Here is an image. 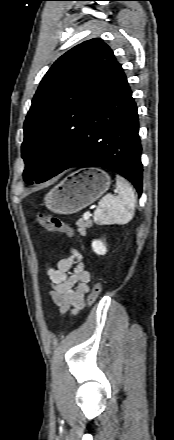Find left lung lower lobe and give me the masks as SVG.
I'll list each match as a JSON object with an SVG mask.
<instances>
[{
	"mask_svg": "<svg viewBox=\"0 0 174 440\" xmlns=\"http://www.w3.org/2000/svg\"><path fill=\"white\" fill-rule=\"evenodd\" d=\"M138 131L137 106L118 63L107 88L90 109L77 153L61 172L86 165L106 168L127 178L141 195L143 167Z\"/></svg>",
	"mask_w": 174,
	"mask_h": 440,
	"instance_id": "1",
	"label": "left lung lower lobe"
}]
</instances>
